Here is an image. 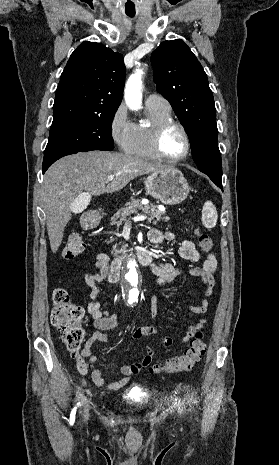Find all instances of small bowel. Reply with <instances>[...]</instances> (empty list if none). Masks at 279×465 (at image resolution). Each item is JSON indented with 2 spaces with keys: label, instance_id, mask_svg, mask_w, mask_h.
Here are the masks:
<instances>
[{
  "label": "small bowel",
  "instance_id": "small-bowel-1",
  "mask_svg": "<svg viewBox=\"0 0 279 465\" xmlns=\"http://www.w3.org/2000/svg\"><path fill=\"white\" fill-rule=\"evenodd\" d=\"M173 237L172 233H164L157 229H152L148 234L149 240L156 245H163L171 241ZM178 254L181 258L188 261H203L201 267H194L190 272L192 275L202 278L205 286V298L200 304L190 306V310L196 314H204L207 312L209 306L207 297L211 296L213 293L214 272L217 268L216 257L212 253L203 256L191 240H184L180 243ZM95 267L97 272L85 277V282L90 289V300L87 304V311L94 319L95 331L84 343L81 354L74 355V359L78 371L83 375L90 373L96 386L115 391L125 387L131 381L132 376L150 366L155 350L153 347L148 346L144 356L139 361L121 366L120 372L123 377L120 380L109 383L104 380L101 370L95 366L98 362V357L91 354V349L95 342H109V337L103 331L111 330L117 326V315L102 311L98 299L100 295L99 283L109 280L111 270L109 256L106 253L97 254ZM150 268L156 277L157 284L162 287L172 282L174 277L179 273V269L167 262H153ZM151 315L153 318L157 317V306L155 301H152L151 304ZM206 323V318H200L196 324L190 325L186 334L180 339V343L189 342L199 330L205 327ZM151 335H160L161 346L163 347H169L173 344V339L170 336L162 335L157 326L140 327L133 332L132 337L135 340H139L145 336ZM84 358H88V362H86Z\"/></svg>",
  "mask_w": 279,
  "mask_h": 465
}]
</instances>
